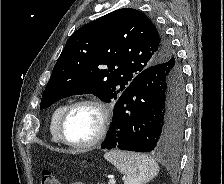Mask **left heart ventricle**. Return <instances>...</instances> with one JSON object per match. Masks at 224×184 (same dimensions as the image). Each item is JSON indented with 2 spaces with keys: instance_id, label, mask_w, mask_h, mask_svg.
I'll return each mask as SVG.
<instances>
[{
  "instance_id": "obj_1",
  "label": "left heart ventricle",
  "mask_w": 224,
  "mask_h": 184,
  "mask_svg": "<svg viewBox=\"0 0 224 184\" xmlns=\"http://www.w3.org/2000/svg\"><path fill=\"white\" fill-rule=\"evenodd\" d=\"M100 113L92 106L76 107L65 123V135L73 143H84L91 140L97 133Z\"/></svg>"
}]
</instances>
